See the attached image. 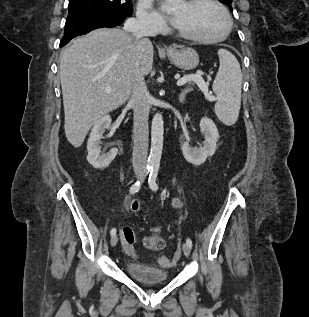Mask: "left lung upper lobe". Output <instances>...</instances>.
<instances>
[{"label":"left lung upper lobe","mask_w":309,"mask_h":317,"mask_svg":"<svg viewBox=\"0 0 309 317\" xmlns=\"http://www.w3.org/2000/svg\"><path fill=\"white\" fill-rule=\"evenodd\" d=\"M219 1H221L222 3L228 5L230 10L233 11L232 10V6H231L232 0H219Z\"/></svg>","instance_id":"obj_1"}]
</instances>
